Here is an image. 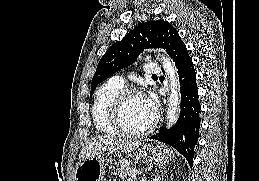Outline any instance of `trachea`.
<instances>
[{
  "label": "trachea",
  "mask_w": 259,
  "mask_h": 181,
  "mask_svg": "<svg viewBox=\"0 0 259 181\" xmlns=\"http://www.w3.org/2000/svg\"><path fill=\"white\" fill-rule=\"evenodd\" d=\"M152 77H157V75H153Z\"/></svg>",
  "instance_id": "obj_1"
}]
</instances>
